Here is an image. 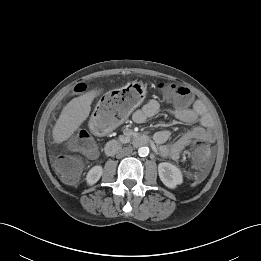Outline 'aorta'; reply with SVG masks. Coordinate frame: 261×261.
<instances>
[{
	"mask_svg": "<svg viewBox=\"0 0 261 261\" xmlns=\"http://www.w3.org/2000/svg\"><path fill=\"white\" fill-rule=\"evenodd\" d=\"M148 153H149L148 147H140V148L138 149V154H139V156L144 157V156H147Z\"/></svg>",
	"mask_w": 261,
	"mask_h": 261,
	"instance_id": "obj_1",
	"label": "aorta"
}]
</instances>
